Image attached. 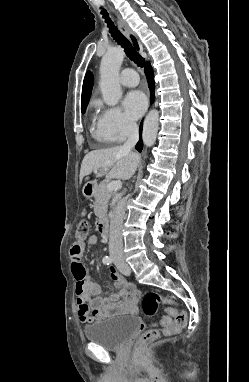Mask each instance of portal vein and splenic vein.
Instances as JSON below:
<instances>
[{"mask_svg":"<svg viewBox=\"0 0 249 382\" xmlns=\"http://www.w3.org/2000/svg\"><path fill=\"white\" fill-rule=\"evenodd\" d=\"M95 173H97V171H95ZM121 186H122V183L119 180L111 181L110 183L107 184V188L111 191L118 190L121 188Z\"/></svg>","mask_w":249,"mask_h":382,"instance_id":"obj_1","label":"portal vein and splenic vein"}]
</instances>
